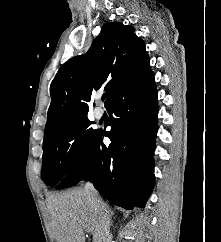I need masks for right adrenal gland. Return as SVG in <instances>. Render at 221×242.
<instances>
[{"instance_id":"2a0ac1e0","label":"right adrenal gland","mask_w":221,"mask_h":242,"mask_svg":"<svg viewBox=\"0 0 221 242\" xmlns=\"http://www.w3.org/2000/svg\"><path fill=\"white\" fill-rule=\"evenodd\" d=\"M108 212H109L110 226H112L113 225L112 216L114 215V212L111 209H109Z\"/></svg>"}]
</instances>
